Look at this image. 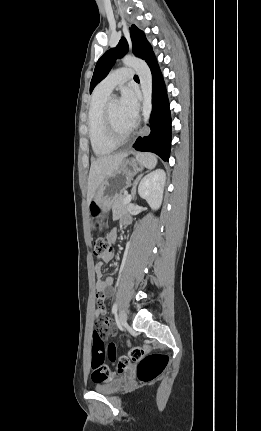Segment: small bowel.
I'll return each mask as SVG.
<instances>
[{"label": "small bowel", "mask_w": 261, "mask_h": 431, "mask_svg": "<svg viewBox=\"0 0 261 431\" xmlns=\"http://www.w3.org/2000/svg\"><path fill=\"white\" fill-rule=\"evenodd\" d=\"M129 219L127 217H122L121 222L127 223ZM107 240L109 243H114L117 239V232L115 230L110 231L107 236ZM113 259V254L108 253L104 257L101 258V261H99L95 266V273L97 277L96 281V310L94 313L95 318H99L100 316L106 314L107 305L106 300L107 298L111 297L113 295V279L110 277H104L102 274V266L104 263H108ZM96 334L99 337H102L104 334L109 333L110 331V325L105 319H100L97 327H96ZM127 347H132V342H127ZM129 366V365H128Z\"/></svg>", "instance_id": "small-bowel-1"}]
</instances>
